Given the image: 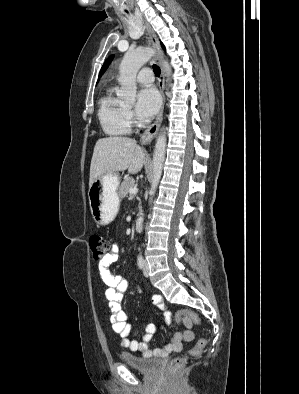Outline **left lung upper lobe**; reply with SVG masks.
I'll list each match as a JSON object with an SVG mask.
<instances>
[{
	"label": "left lung upper lobe",
	"instance_id": "1",
	"mask_svg": "<svg viewBox=\"0 0 299 394\" xmlns=\"http://www.w3.org/2000/svg\"><path fill=\"white\" fill-rule=\"evenodd\" d=\"M162 47L164 48L163 45H162ZM113 57H114V56L112 55V56H110V57L106 60V62L104 63V65H103L102 68H101L100 75H102V74L104 73V71L106 70V68H107V67L109 66V64L111 63Z\"/></svg>",
	"mask_w": 299,
	"mask_h": 394
}]
</instances>
